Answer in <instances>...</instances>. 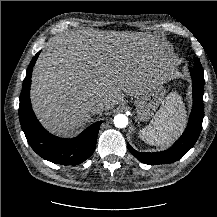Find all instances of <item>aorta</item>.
Returning <instances> with one entry per match:
<instances>
[{
	"instance_id": "aorta-1",
	"label": "aorta",
	"mask_w": 217,
	"mask_h": 217,
	"mask_svg": "<svg viewBox=\"0 0 217 217\" xmlns=\"http://www.w3.org/2000/svg\"><path fill=\"white\" fill-rule=\"evenodd\" d=\"M113 121L117 128H125L128 125V118L124 114L116 115Z\"/></svg>"
}]
</instances>
